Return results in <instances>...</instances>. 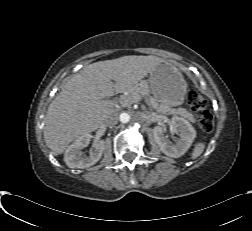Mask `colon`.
<instances>
[{"mask_svg": "<svg viewBox=\"0 0 252 231\" xmlns=\"http://www.w3.org/2000/svg\"><path fill=\"white\" fill-rule=\"evenodd\" d=\"M187 105L191 111L198 114V123L201 130L206 133L212 132L214 129V120L204 98L196 91L190 90L187 93Z\"/></svg>", "mask_w": 252, "mask_h": 231, "instance_id": "1", "label": "colon"}]
</instances>
